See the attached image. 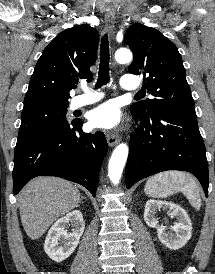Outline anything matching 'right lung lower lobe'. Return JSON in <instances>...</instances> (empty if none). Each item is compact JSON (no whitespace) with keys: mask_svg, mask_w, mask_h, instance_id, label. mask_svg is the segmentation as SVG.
Returning a JSON list of instances; mask_svg holds the SVG:
<instances>
[{"mask_svg":"<svg viewBox=\"0 0 215 274\" xmlns=\"http://www.w3.org/2000/svg\"><path fill=\"white\" fill-rule=\"evenodd\" d=\"M81 126L82 121H72L15 151L13 193L36 176H58L83 185L95 196L108 146L103 133H84Z\"/></svg>","mask_w":215,"mask_h":274,"instance_id":"98d812e1","label":"right lung lower lobe"}]
</instances>
